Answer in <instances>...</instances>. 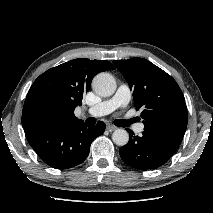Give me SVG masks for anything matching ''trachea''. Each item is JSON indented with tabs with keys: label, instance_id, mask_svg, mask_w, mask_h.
Returning a JSON list of instances; mask_svg holds the SVG:
<instances>
[{
	"label": "trachea",
	"instance_id": "1",
	"mask_svg": "<svg viewBox=\"0 0 213 213\" xmlns=\"http://www.w3.org/2000/svg\"><path fill=\"white\" fill-rule=\"evenodd\" d=\"M88 122L90 124H95L96 123V120L94 118H89L88 119ZM134 122V119H130V120H117L115 122L116 126H119V127H127L129 126L131 123Z\"/></svg>",
	"mask_w": 213,
	"mask_h": 213
}]
</instances>
